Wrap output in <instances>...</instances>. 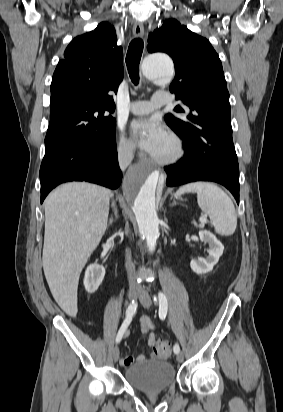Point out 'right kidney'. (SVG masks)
<instances>
[{"mask_svg": "<svg viewBox=\"0 0 283 412\" xmlns=\"http://www.w3.org/2000/svg\"><path fill=\"white\" fill-rule=\"evenodd\" d=\"M105 276V268L97 263L87 267L84 277V286L88 293H94L102 283Z\"/></svg>", "mask_w": 283, "mask_h": 412, "instance_id": "obj_1", "label": "right kidney"}]
</instances>
